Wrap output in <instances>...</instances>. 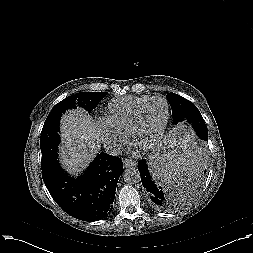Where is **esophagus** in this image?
<instances>
[{
    "mask_svg": "<svg viewBox=\"0 0 253 253\" xmlns=\"http://www.w3.org/2000/svg\"><path fill=\"white\" fill-rule=\"evenodd\" d=\"M135 164H136L135 161L132 160V159H129V158H125V159L123 160V165H124L125 168L132 167V166H134Z\"/></svg>",
    "mask_w": 253,
    "mask_h": 253,
    "instance_id": "obj_1",
    "label": "esophagus"
}]
</instances>
